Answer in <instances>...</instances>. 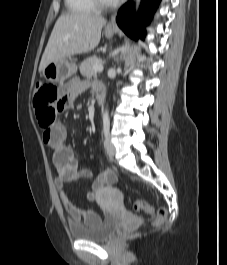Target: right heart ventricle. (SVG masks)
<instances>
[{
    "label": "right heart ventricle",
    "instance_id": "e07e8e85",
    "mask_svg": "<svg viewBox=\"0 0 227 265\" xmlns=\"http://www.w3.org/2000/svg\"><path fill=\"white\" fill-rule=\"evenodd\" d=\"M65 5L72 14H88L97 8L93 0H65Z\"/></svg>",
    "mask_w": 227,
    "mask_h": 265
}]
</instances>
